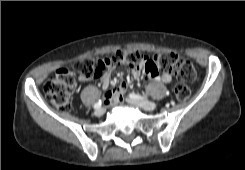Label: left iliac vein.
I'll list each match as a JSON object with an SVG mask.
<instances>
[{
  "mask_svg": "<svg viewBox=\"0 0 245 170\" xmlns=\"http://www.w3.org/2000/svg\"><path fill=\"white\" fill-rule=\"evenodd\" d=\"M128 102L131 104H134L136 106H139V107L143 108L144 110H151L153 108V106H151V107L146 106L142 101H135V100L129 99Z\"/></svg>",
  "mask_w": 245,
  "mask_h": 170,
  "instance_id": "left-iliac-vein-1",
  "label": "left iliac vein"
}]
</instances>
